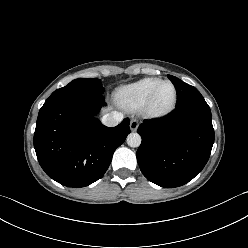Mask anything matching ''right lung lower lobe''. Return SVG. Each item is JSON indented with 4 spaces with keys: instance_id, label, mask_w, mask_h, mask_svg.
Listing matches in <instances>:
<instances>
[{
    "instance_id": "obj_1",
    "label": "right lung lower lobe",
    "mask_w": 248,
    "mask_h": 248,
    "mask_svg": "<svg viewBox=\"0 0 248 248\" xmlns=\"http://www.w3.org/2000/svg\"><path fill=\"white\" fill-rule=\"evenodd\" d=\"M105 105L103 95L87 92L52 94L41 107L34 148L46 174L67 187L100 179L114 151L130 133L129 119L106 127L94 116Z\"/></svg>"
}]
</instances>
